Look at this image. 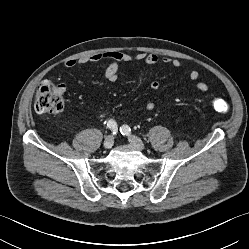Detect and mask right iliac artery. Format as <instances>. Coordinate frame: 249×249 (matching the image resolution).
I'll return each mask as SVG.
<instances>
[{
  "label": "right iliac artery",
  "instance_id": "1",
  "mask_svg": "<svg viewBox=\"0 0 249 249\" xmlns=\"http://www.w3.org/2000/svg\"><path fill=\"white\" fill-rule=\"evenodd\" d=\"M107 127L113 131V134H115V132L117 130V124L114 120H109L107 122Z\"/></svg>",
  "mask_w": 249,
  "mask_h": 249
}]
</instances>
